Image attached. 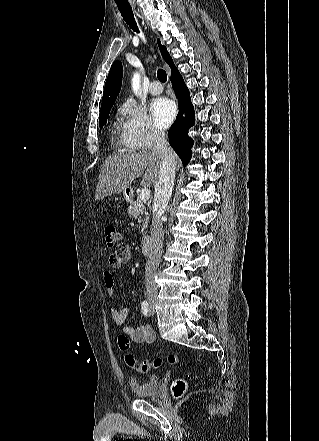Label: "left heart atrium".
Returning <instances> with one entry per match:
<instances>
[{"label":"left heart atrium","mask_w":319,"mask_h":441,"mask_svg":"<svg viewBox=\"0 0 319 441\" xmlns=\"http://www.w3.org/2000/svg\"><path fill=\"white\" fill-rule=\"evenodd\" d=\"M150 109L154 120L162 128H166L170 125L176 113L174 102L165 97L154 99Z\"/></svg>","instance_id":"39dd6f15"}]
</instances>
